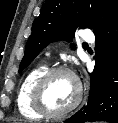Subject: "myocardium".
I'll use <instances>...</instances> for the list:
<instances>
[{
  "instance_id": "1",
  "label": "myocardium",
  "mask_w": 118,
  "mask_h": 123,
  "mask_svg": "<svg viewBox=\"0 0 118 123\" xmlns=\"http://www.w3.org/2000/svg\"><path fill=\"white\" fill-rule=\"evenodd\" d=\"M68 74L75 82L77 93L74 101L62 110L51 109L45 101V92L50 80L57 74ZM83 97V87L73 70L65 66L48 68L37 80L32 94V104L34 109L40 114L49 118H61L72 112L81 102Z\"/></svg>"
}]
</instances>
